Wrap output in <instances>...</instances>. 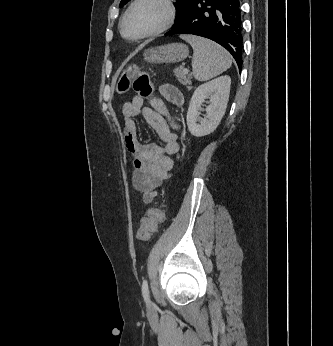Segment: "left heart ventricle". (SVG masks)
I'll list each match as a JSON object with an SVG mask.
<instances>
[{"label":"left heart ventricle","instance_id":"b2bd125f","mask_svg":"<svg viewBox=\"0 0 333 346\" xmlns=\"http://www.w3.org/2000/svg\"><path fill=\"white\" fill-rule=\"evenodd\" d=\"M166 15V7L158 0H143L127 16L124 32L135 37L153 31L162 25Z\"/></svg>","mask_w":333,"mask_h":346}]
</instances>
